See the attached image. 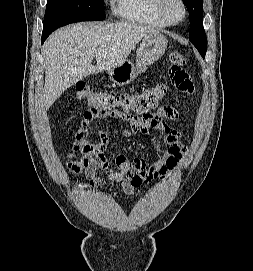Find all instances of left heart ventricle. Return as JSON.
Masks as SVG:
<instances>
[{
  "instance_id": "1",
  "label": "left heart ventricle",
  "mask_w": 253,
  "mask_h": 271,
  "mask_svg": "<svg viewBox=\"0 0 253 271\" xmlns=\"http://www.w3.org/2000/svg\"><path fill=\"white\" fill-rule=\"evenodd\" d=\"M169 15L174 20H179L182 17V8L176 0H170L167 5Z\"/></svg>"
}]
</instances>
